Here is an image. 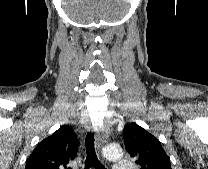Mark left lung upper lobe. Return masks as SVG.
Returning <instances> with one entry per match:
<instances>
[{"mask_svg":"<svg viewBox=\"0 0 208 169\" xmlns=\"http://www.w3.org/2000/svg\"><path fill=\"white\" fill-rule=\"evenodd\" d=\"M125 148L141 169H171L159 140L136 123L124 127Z\"/></svg>","mask_w":208,"mask_h":169,"instance_id":"left-lung-upper-lobe-1","label":"left lung upper lobe"}]
</instances>
